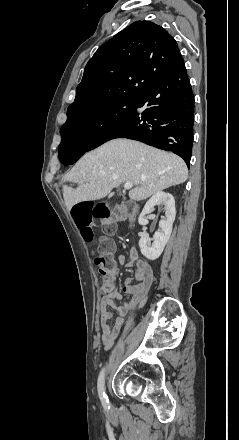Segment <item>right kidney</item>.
I'll list each match as a JSON object with an SVG mask.
<instances>
[{
	"mask_svg": "<svg viewBox=\"0 0 239 440\" xmlns=\"http://www.w3.org/2000/svg\"><path fill=\"white\" fill-rule=\"evenodd\" d=\"M154 206H159V208L164 206L165 218L164 220H160V230L155 232L153 238H149L148 234H144L139 240L141 254H143L145 258H148V260H157V258L161 256L163 248L168 244L167 242L172 232V224L176 216L175 200L172 194L157 192V194H154V196L148 200L147 204H145L138 218V224H140V226H147L148 220H145L144 216L151 214ZM151 240H154L153 244H150Z\"/></svg>",
	"mask_w": 239,
	"mask_h": 440,
	"instance_id": "ca27d5eb",
	"label": "right kidney"
}]
</instances>
